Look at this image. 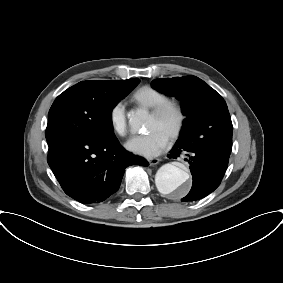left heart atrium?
Segmentation results:
<instances>
[{
    "mask_svg": "<svg viewBox=\"0 0 283 283\" xmlns=\"http://www.w3.org/2000/svg\"><path fill=\"white\" fill-rule=\"evenodd\" d=\"M168 136L157 129L132 137L126 143V148L140 156L153 157L158 155L167 145Z\"/></svg>",
    "mask_w": 283,
    "mask_h": 283,
    "instance_id": "left-heart-atrium-1",
    "label": "left heart atrium"
}]
</instances>
